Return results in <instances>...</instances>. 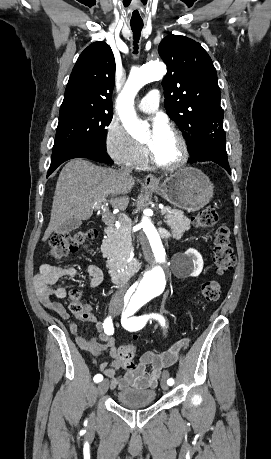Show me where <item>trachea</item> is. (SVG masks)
I'll list each match as a JSON object with an SVG mask.
<instances>
[{
  "label": "trachea",
  "instance_id": "trachea-1",
  "mask_svg": "<svg viewBox=\"0 0 271 459\" xmlns=\"http://www.w3.org/2000/svg\"><path fill=\"white\" fill-rule=\"evenodd\" d=\"M131 26V29H132V32H133V38H134V53H138V40L140 38V35H141V30L143 28V24L142 25H130Z\"/></svg>",
  "mask_w": 271,
  "mask_h": 459
}]
</instances>
